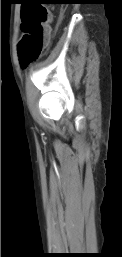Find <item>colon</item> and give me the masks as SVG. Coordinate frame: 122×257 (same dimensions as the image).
I'll list each match as a JSON object with an SVG mask.
<instances>
[{
	"instance_id": "obj_1",
	"label": "colon",
	"mask_w": 122,
	"mask_h": 257,
	"mask_svg": "<svg viewBox=\"0 0 122 257\" xmlns=\"http://www.w3.org/2000/svg\"><path fill=\"white\" fill-rule=\"evenodd\" d=\"M22 38L19 42L21 62L27 64L37 58L49 40L50 13L45 5H20Z\"/></svg>"
}]
</instances>
